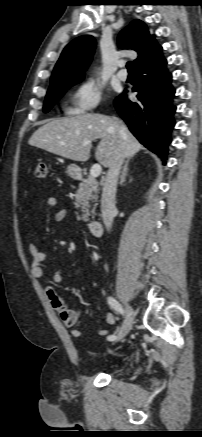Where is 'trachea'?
Returning a JSON list of instances; mask_svg holds the SVG:
<instances>
[{
    "mask_svg": "<svg viewBox=\"0 0 202 437\" xmlns=\"http://www.w3.org/2000/svg\"><path fill=\"white\" fill-rule=\"evenodd\" d=\"M126 67H127L128 71H134V65H133L132 61L127 62Z\"/></svg>",
    "mask_w": 202,
    "mask_h": 437,
    "instance_id": "3493384b",
    "label": "trachea"
}]
</instances>
